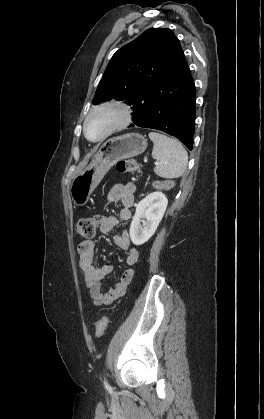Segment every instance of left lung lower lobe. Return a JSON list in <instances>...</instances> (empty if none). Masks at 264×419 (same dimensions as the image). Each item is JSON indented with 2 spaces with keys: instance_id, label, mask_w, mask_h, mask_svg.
Wrapping results in <instances>:
<instances>
[{
  "instance_id": "left-lung-lower-lobe-1",
  "label": "left lung lower lobe",
  "mask_w": 264,
  "mask_h": 419,
  "mask_svg": "<svg viewBox=\"0 0 264 419\" xmlns=\"http://www.w3.org/2000/svg\"><path fill=\"white\" fill-rule=\"evenodd\" d=\"M148 90L141 105L133 109L134 127L166 132L183 142L190 150L195 126V86L183 51L173 72Z\"/></svg>"
}]
</instances>
